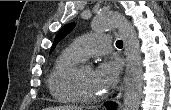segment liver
Wrapping results in <instances>:
<instances>
[{"label": "liver", "instance_id": "liver-1", "mask_svg": "<svg viewBox=\"0 0 171 110\" xmlns=\"http://www.w3.org/2000/svg\"><path fill=\"white\" fill-rule=\"evenodd\" d=\"M44 110H83L81 107L75 106H57V107H49Z\"/></svg>", "mask_w": 171, "mask_h": 110}]
</instances>
